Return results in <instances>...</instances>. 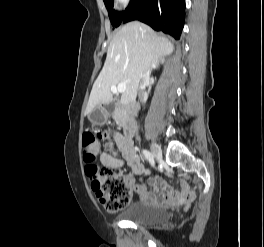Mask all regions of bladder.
I'll list each match as a JSON object with an SVG mask.
<instances>
[{"label": "bladder", "instance_id": "1", "mask_svg": "<svg viewBox=\"0 0 264 247\" xmlns=\"http://www.w3.org/2000/svg\"><path fill=\"white\" fill-rule=\"evenodd\" d=\"M122 217L124 220L135 224L156 227L164 225L169 221L170 210L145 202H135L125 210Z\"/></svg>", "mask_w": 264, "mask_h": 247}]
</instances>
